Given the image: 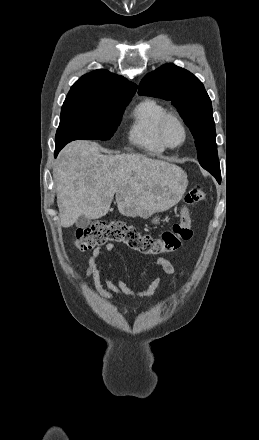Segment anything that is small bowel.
<instances>
[{
	"instance_id": "1",
	"label": "small bowel",
	"mask_w": 259,
	"mask_h": 440,
	"mask_svg": "<svg viewBox=\"0 0 259 440\" xmlns=\"http://www.w3.org/2000/svg\"><path fill=\"white\" fill-rule=\"evenodd\" d=\"M114 248L115 246L112 243H108L105 246V250L107 253L113 252ZM100 254V248H96L93 250L87 261L85 276L87 279H89L90 277H94L96 291L105 298H112L117 295H125L138 298L152 297L159 287L161 281L160 274L165 273L168 276H172L175 273L174 265L170 260L166 258H158L156 261L157 274L151 281V283L143 290H132L121 278H117L116 282H112L102 275L99 264ZM79 270H81V268H79ZM183 273L184 270H181L180 275H182Z\"/></svg>"
}]
</instances>
